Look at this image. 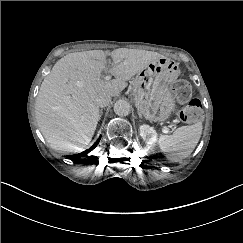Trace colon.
Instances as JSON below:
<instances>
[{"label": "colon", "mask_w": 243, "mask_h": 243, "mask_svg": "<svg viewBox=\"0 0 243 243\" xmlns=\"http://www.w3.org/2000/svg\"><path fill=\"white\" fill-rule=\"evenodd\" d=\"M172 92L178 102L186 104L180 112V118L184 123H194L201 119V103L197 99H192V88L187 81H177Z\"/></svg>", "instance_id": "1"}]
</instances>
